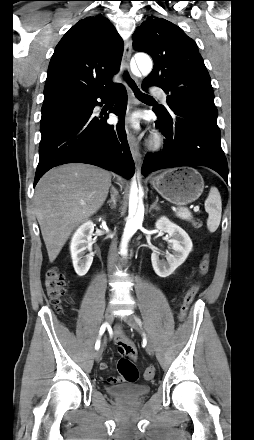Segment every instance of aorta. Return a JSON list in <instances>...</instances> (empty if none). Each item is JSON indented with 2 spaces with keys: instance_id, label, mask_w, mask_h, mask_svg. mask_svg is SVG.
<instances>
[{
  "instance_id": "1",
  "label": "aorta",
  "mask_w": 254,
  "mask_h": 440,
  "mask_svg": "<svg viewBox=\"0 0 254 440\" xmlns=\"http://www.w3.org/2000/svg\"><path fill=\"white\" fill-rule=\"evenodd\" d=\"M135 61L138 69L143 75H148L152 68L151 58L143 53L135 55ZM143 190L139 185L137 187L136 181L132 182L131 192L129 197V214L127 217L126 225L124 228L120 253L122 255L127 254V245L131 237L136 233V231L142 226L144 219V204H143Z\"/></svg>"
}]
</instances>
